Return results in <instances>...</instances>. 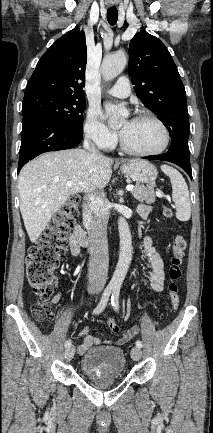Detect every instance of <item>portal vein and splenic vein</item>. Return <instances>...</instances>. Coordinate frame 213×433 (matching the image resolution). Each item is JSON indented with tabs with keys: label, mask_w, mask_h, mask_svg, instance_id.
Segmentation results:
<instances>
[{
	"label": "portal vein and splenic vein",
	"mask_w": 213,
	"mask_h": 433,
	"mask_svg": "<svg viewBox=\"0 0 213 433\" xmlns=\"http://www.w3.org/2000/svg\"><path fill=\"white\" fill-rule=\"evenodd\" d=\"M68 187H71L72 185H73V183L72 182H67V184H66ZM126 189H127V191H132L133 189H134V186L133 185H128L127 187H126Z\"/></svg>",
	"instance_id": "obj_1"
}]
</instances>
